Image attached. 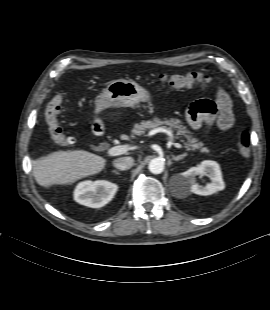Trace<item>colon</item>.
<instances>
[{"instance_id": "obj_1", "label": "colon", "mask_w": 270, "mask_h": 310, "mask_svg": "<svg viewBox=\"0 0 270 310\" xmlns=\"http://www.w3.org/2000/svg\"><path fill=\"white\" fill-rule=\"evenodd\" d=\"M160 80L168 86L176 89L188 88L193 86L210 87L213 85V79L201 72H190L184 75L181 74H164L160 76ZM63 94L59 93L55 95L48 103L45 110V121L48 126L49 134L52 140L68 148H73L74 139L65 135L62 125L58 119L59 114L62 111ZM196 108L205 114H212L215 112V105L213 102L207 99L199 100L195 102ZM250 134L243 131L237 136V147L241 158L248 159L251 154L250 150Z\"/></svg>"}]
</instances>
